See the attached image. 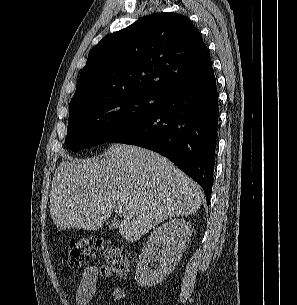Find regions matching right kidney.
Wrapping results in <instances>:
<instances>
[{
    "mask_svg": "<svg viewBox=\"0 0 297 305\" xmlns=\"http://www.w3.org/2000/svg\"><path fill=\"white\" fill-rule=\"evenodd\" d=\"M192 232L191 225L184 219L170 220L153 230L139 255L137 284L150 288L161 283L179 263ZM155 261L158 266L150 271L149 264Z\"/></svg>",
    "mask_w": 297,
    "mask_h": 305,
    "instance_id": "right-kidney-1",
    "label": "right kidney"
}]
</instances>
